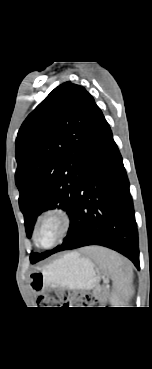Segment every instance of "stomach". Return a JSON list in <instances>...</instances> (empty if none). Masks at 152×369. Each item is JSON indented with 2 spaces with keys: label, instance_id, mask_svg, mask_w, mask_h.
<instances>
[{
  "label": "stomach",
  "instance_id": "obj_1",
  "mask_svg": "<svg viewBox=\"0 0 152 369\" xmlns=\"http://www.w3.org/2000/svg\"><path fill=\"white\" fill-rule=\"evenodd\" d=\"M100 273L94 263L76 252L66 254L53 263L30 274V286L36 293L48 287L64 286L70 289H92Z\"/></svg>",
  "mask_w": 152,
  "mask_h": 369
}]
</instances>
